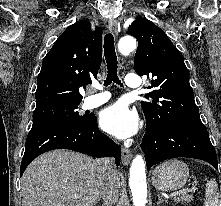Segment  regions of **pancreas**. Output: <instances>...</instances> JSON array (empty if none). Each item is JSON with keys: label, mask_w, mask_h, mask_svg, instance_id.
<instances>
[{"label": "pancreas", "mask_w": 221, "mask_h": 206, "mask_svg": "<svg viewBox=\"0 0 221 206\" xmlns=\"http://www.w3.org/2000/svg\"><path fill=\"white\" fill-rule=\"evenodd\" d=\"M175 200L177 203L186 204V203L191 202L193 200V196L184 193V194H180L179 197H176Z\"/></svg>", "instance_id": "pancreas-1"}]
</instances>
